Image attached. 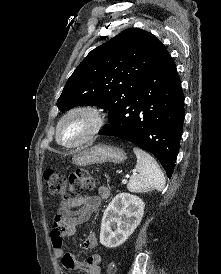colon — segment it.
<instances>
[{"label": "colon", "mask_w": 221, "mask_h": 274, "mask_svg": "<svg viewBox=\"0 0 221 274\" xmlns=\"http://www.w3.org/2000/svg\"><path fill=\"white\" fill-rule=\"evenodd\" d=\"M44 178L49 192L57 195L64 202L76 200L83 191H89L94 187L93 179L85 172H74L65 176L53 169H48L44 173ZM113 264L108 266L107 273L114 274Z\"/></svg>", "instance_id": "obj_1"}]
</instances>
